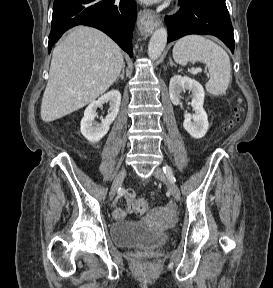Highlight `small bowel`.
Listing matches in <instances>:
<instances>
[{"mask_svg":"<svg viewBox=\"0 0 273 288\" xmlns=\"http://www.w3.org/2000/svg\"><path fill=\"white\" fill-rule=\"evenodd\" d=\"M125 199L127 202L126 208L116 207L114 209L113 215H114L115 219H117V220H123L127 216L128 213H130L134 210L133 204L135 201V192L131 189H128L125 193Z\"/></svg>","mask_w":273,"mask_h":288,"instance_id":"small-bowel-1","label":"small bowel"}]
</instances>
